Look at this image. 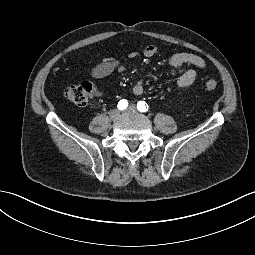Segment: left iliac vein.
<instances>
[{"label": "left iliac vein", "mask_w": 255, "mask_h": 255, "mask_svg": "<svg viewBox=\"0 0 255 255\" xmlns=\"http://www.w3.org/2000/svg\"><path fill=\"white\" fill-rule=\"evenodd\" d=\"M128 112H134L136 111V107L134 105H130L127 109Z\"/></svg>", "instance_id": "1"}]
</instances>
